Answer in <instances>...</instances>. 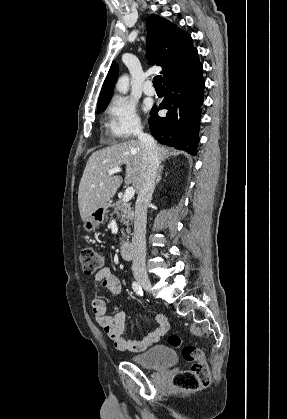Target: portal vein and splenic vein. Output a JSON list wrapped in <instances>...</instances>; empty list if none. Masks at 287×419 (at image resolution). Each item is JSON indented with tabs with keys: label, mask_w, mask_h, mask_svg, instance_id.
I'll use <instances>...</instances> for the list:
<instances>
[{
	"label": "portal vein and splenic vein",
	"mask_w": 287,
	"mask_h": 419,
	"mask_svg": "<svg viewBox=\"0 0 287 419\" xmlns=\"http://www.w3.org/2000/svg\"><path fill=\"white\" fill-rule=\"evenodd\" d=\"M121 171H122V169L120 167H116V168L110 169L108 171V174L113 175V174L119 173ZM134 194H135L134 188L133 187H128L124 192L123 201L124 202L130 201L133 198Z\"/></svg>",
	"instance_id": "obj_1"
}]
</instances>
